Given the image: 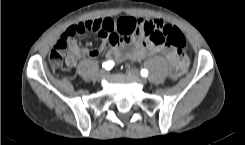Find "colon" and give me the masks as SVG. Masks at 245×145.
<instances>
[{"label":"colon","instance_id":"colon-1","mask_svg":"<svg viewBox=\"0 0 245 145\" xmlns=\"http://www.w3.org/2000/svg\"><path fill=\"white\" fill-rule=\"evenodd\" d=\"M88 28V24L82 23H78L67 28L62 37L56 42L50 51L49 62L53 68H59L62 66L67 40L77 34L86 32ZM141 36L156 46L167 45L175 50H182L187 46L185 35L178 27L171 24L164 25L161 30L155 29L151 26H146L141 33ZM179 72L180 68L178 65L176 63H172L170 76L175 77Z\"/></svg>","mask_w":245,"mask_h":145}]
</instances>
